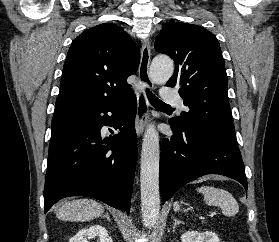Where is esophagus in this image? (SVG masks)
Masks as SVG:
<instances>
[{
  "label": "esophagus",
  "instance_id": "obj_1",
  "mask_svg": "<svg viewBox=\"0 0 279 242\" xmlns=\"http://www.w3.org/2000/svg\"><path fill=\"white\" fill-rule=\"evenodd\" d=\"M150 59L151 46L150 41L146 39L142 43L141 60L138 70L139 86L137 93V114L135 120V128L138 136L143 134L148 118L149 102L146 96V89H153L154 87L149 73Z\"/></svg>",
  "mask_w": 279,
  "mask_h": 242
}]
</instances>
